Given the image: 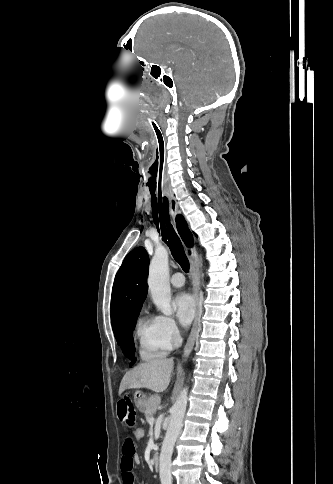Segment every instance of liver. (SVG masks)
Wrapping results in <instances>:
<instances>
[{"mask_svg":"<svg viewBox=\"0 0 333 484\" xmlns=\"http://www.w3.org/2000/svg\"><path fill=\"white\" fill-rule=\"evenodd\" d=\"M174 368L170 359H154L143 362L127 372L119 387V395L127 389L147 388L153 392L166 391Z\"/></svg>","mask_w":333,"mask_h":484,"instance_id":"1","label":"liver"}]
</instances>
